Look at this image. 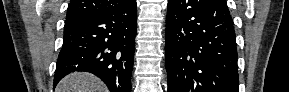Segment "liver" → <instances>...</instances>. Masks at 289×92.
<instances>
[{
	"label": "liver",
	"mask_w": 289,
	"mask_h": 92,
	"mask_svg": "<svg viewBox=\"0 0 289 92\" xmlns=\"http://www.w3.org/2000/svg\"><path fill=\"white\" fill-rule=\"evenodd\" d=\"M56 92H107V88L96 76L75 72L59 82Z\"/></svg>",
	"instance_id": "obj_1"
}]
</instances>
